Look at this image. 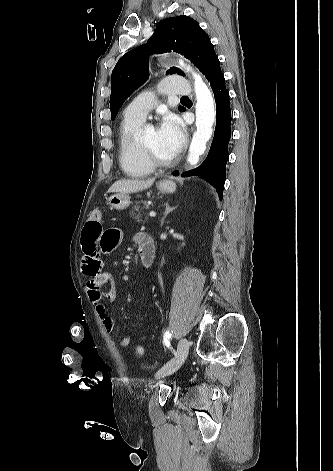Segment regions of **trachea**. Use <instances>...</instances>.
Instances as JSON below:
<instances>
[{"instance_id":"1","label":"trachea","mask_w":333,"mask_h":471,"mask_svg":"<svg viewBox=\"0 0 333 471\" xmlns=\"http://www.w3.org/2000/svg\"><path fill=\"white\" fill-rule=\"evenodd\" d=\"M181 99H188V97H187V96H183Z\"/></svg>"}]
</instances>
